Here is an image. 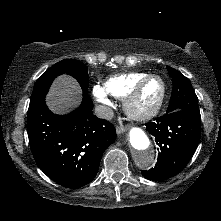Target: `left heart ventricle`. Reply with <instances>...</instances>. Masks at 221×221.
Here are the masks:
<instances>
[{
    "mask_svg": "<svg viewBox=\"0 0 221 221\" xmlns=\"http://www.w3.org/2000/svg\"><path fill=\"white\" fill-rule=\"evenodd\" d=\"M161 91L162 85L158 79L148 81L140 93L136 107L139 110H147L153 107L158 101Z\"/></svg>",
    "mask_w": 221,
    "mask_h": 221,
    "instance_id": "1",
    "label": "left heart ventricle"
}]
</instances>
